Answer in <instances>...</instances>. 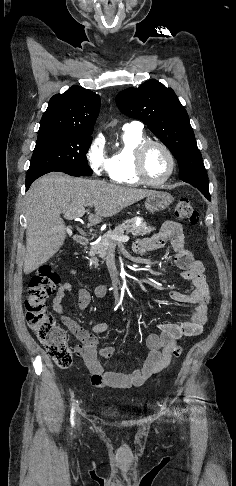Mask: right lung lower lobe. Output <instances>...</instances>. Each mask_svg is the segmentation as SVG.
I'll return each instance as SVG.
<instances>
[{
    "label": "right lung lower lobe",
    "mask_w": 236,
    "mask_h": 486,
    "mask_svg": "<svg viewBox=\"0 0 236 486\" xmlns=\"http://www.w3.org/2000/svg\"><path fill=\"white\" fill-rule=\"evenodd\" d=\"M50 171H41V172H36V173H32L30 175H27V179H26V191L29 189L31 183L36 180L38 177L46 174V173H49ZM69 175H72V176H82V175H79V174H70V173H67Z\"/></svg>",
    "instance_id": "98d812e1"
}]
</instances>
